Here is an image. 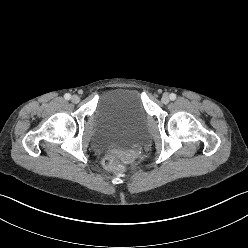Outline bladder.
<instances>
[{
    "label": "bladder",
    "mask_w": 248,
    "mask_h": 248,
    "mask_svg": "<svg viewBox=\"0 0 248 248\" xmlns=\"http://www.w3.org/2000/svg\"><path fill=\"white\" fill-rule=\"evenodd\" d=\"M148 121L139 91L112 89L99 99L92 114L91 146L99 151L133 150L141 143Z\"/></svg>",
    "instance_id": "1"
}]
</instances>
